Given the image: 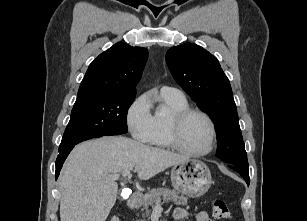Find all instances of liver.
Wrapping results in <instances>:
<instances>
[{"mask_svg":"<svg viewBox=\"0 0 307 221\" xmlns=\"http://www.w3.org/2000/svg\"><path fill=\"white\" fill-rule=\"evenodd\" d=\"M187 160V156L126 137L83 142L68 156L58 180L61 221H105L118 191L109 175L134 169L139 179L149 180Z\"/></svg>","mask_w":307,"mask_h":221,"instance_id":"6515ba94","label":"liver"}]
</instances>
